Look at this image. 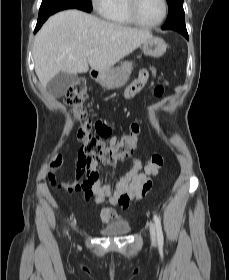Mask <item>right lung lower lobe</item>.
I'll use <instances>...</instances> for the list:
<instances>
[{
  "label": "right lung lower lobe",
  "instance_id": "obj_1",
  "mask_svg": "<svg viewBox=\"0 0 229 280\" xmlns=\"http://www.w3.org/2000/svg\"><path fill=\"white\" fill-rule=\"evenodd\" d=\"M73 8L83 10V11H86V12H91V10L87 9L84 6H81V5H78V4H73V3H67V2L59 3V4H56V5H52V6H47L43 9L39 10L37 25H36V28L34 30V33H36L40 29L42 24L47 20V18L50 15H52V14L58 12V11H61V10L73 9Z\"/></svg>",
  "mask_w": 229,
  "mask_h": 280
}]
</instances>
